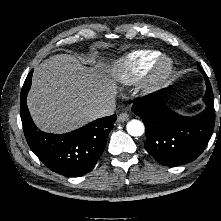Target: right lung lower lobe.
I'll return each instance as SVG.
<instances>
[{"mask_svg":"<svg viewBox=\"0 0 221 221\" xmlns=\"http://www.w3.org/2000/svg\"><path fill=\"white\" fill-rule=\"evenodd\" d=\"M32 72L24 82L20 100L23 130L31 150L42 163L58 174L76 177L88 173L105 148L108 134L116 121V115L97 119L63 135L48 134L38 130L26 105Z\"/></svg>","mask_w":221,"mask_h":221,"instance_id":"obj_1","label":"right lung lower lobe"}]
</instances>
